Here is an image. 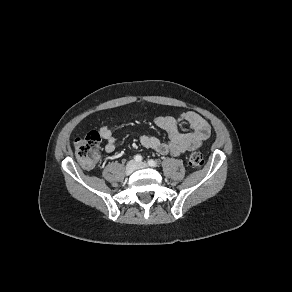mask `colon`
<instances>
[{"label":"colon","mask_w":292,"mask_h":292,"mask_svg":"<svg viewBox=\"0 0 292 292\" xmlns=\"http://www.w3.org/2000/svg\"><path fill=\"white\" fill-rule=\"evenodd\" d=\"M101 135L98 131H91L75 142V152L78 160L85 168H92L100 157ZM204 163L201 151L192 152L188 158L191 169H198Z\"/></svg>","instance_id":"obj_1"}]
</instances>
